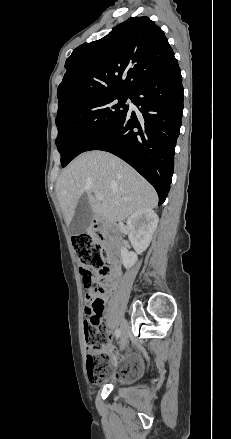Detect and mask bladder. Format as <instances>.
Wrapping results in <instances>:
<instances>
[{
	"label": "bladder",
	"instance_id": "31cf9c89",
	"mask_svg": "<svg viewBox=\"0 0 231 439\" xmlns=\"http://www.w3.org/2000/svg\"><path fill=\"white\" fill-rule=\"evenodd\" d=\"M144 371V365L142 359L139 356H133L129 358L128 364L124 369V377L128 379H135L142 375Z\"/></svg>",
	"mask_w": 231,
	"mask_h": 439
}]
</instances>
